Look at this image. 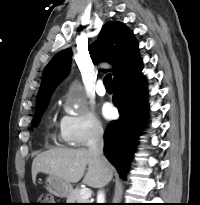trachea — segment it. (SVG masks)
Masks as SVG:
<instances>
[{"instance_id": "obj_1", "label": "trachea", "mask_w": 200, "mask_h": 205, "mask_svg": "<svg viewBox=\"0 0 200 205\" xmlns=\"http://www.w3.org/2000/svg\"><path fill=\"white\" fill-rule=\"evenodd\" d=\"M103 83L105 85L106 88H112L113 84H112V75L111 73L107 74L104 79H103Z\"/></svg>"}]
</instances>
